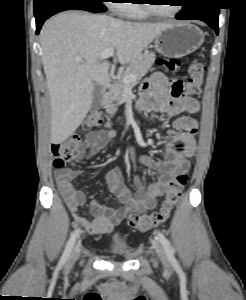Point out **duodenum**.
Segmentation results:
<instances>
[{"label":"duodenum","instance_id":"duodenum-1","mask_svg":"<svg viewBox=\"0 0 246 300\" xmlns=\"http://www.w3.org/2000/svg\"><path fill=\"white\" fill-rule=\"evenodd\" d=\"M109 91H110V86H105L104 89H103V95L107 96Z\"/></svg>","mask_w":246,"mask_h":300}]
</instances>
